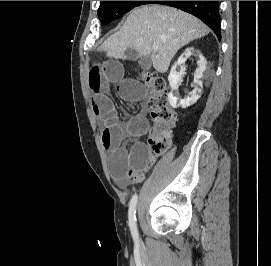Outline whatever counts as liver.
Here are the masks:
<instances>
[{
	"label": "liver",
	"mask_w": 271,
	"mask_h": 266,
	"mask_svg": "<svg viewBox=\"0 0 271 266\" xmlns=\"http://www.w3.org/2000/svg\"><path fill=\"white\" fill-rule=\"evenodd\" d=\"M210 32L196 17L169 6L145 5L134 9L123 27L101 46L108 57L123 59L127 49L149 56L153 67L167 72L176 52ZM158 47L157 51L152 46Z\"/></svg>",
	"instance_id": "liver-1"
}]
</instances>
